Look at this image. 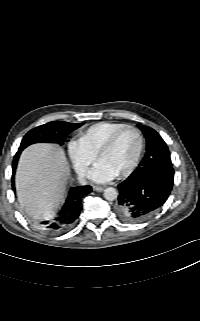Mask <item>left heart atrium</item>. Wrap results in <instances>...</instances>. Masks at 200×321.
<instances>
[{
    "label": "left heart atrium",
    "mask_w": 200,
    "mask_h": 321,
    "mask_svg": "<svg viewBox=\"0 0 200 321\" xmlns=\"http://www.w3.org/2000/svg\"><path fill=\"white\" fill-rule=\"evenodd\" d=\"M116 176L117 174L102 160L89 171V177L96 182H107Z\"/></svg>",
    "instance_id": "39dd6f15"
}]
</instances>
